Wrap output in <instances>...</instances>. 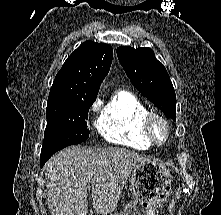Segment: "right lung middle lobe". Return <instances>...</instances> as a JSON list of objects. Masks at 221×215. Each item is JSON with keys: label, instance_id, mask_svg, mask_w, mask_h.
Segmentation results:
<instances>
[{"label": "right lung middle lobe", "instance_id": "1", "mask_svg": "<svg viewBox=\"0 0 221 215\" xmlns=\"http://www.w3.org/2000/svg\"><path fill=\"white\" fill-rule=\"evenodd\" d=\"M94 101L47 104V126L40 158H50L69 145L79 144L89 137L88 111Z\"/></svg>", "mask_w": 221, "mask_h": 215}]
</instances>
